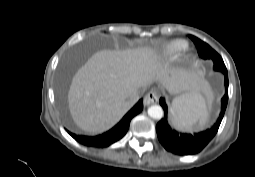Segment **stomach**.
Masks as SVG:
<instances>
[{
  "instance_id": "obj_1",
  "label": "stomach",
  "mask_w": 255,
  "mask_h": 177,
  "mask_svg": "<svg viewBox=\"0 0 255 177\" xmlns=\"http://www.w3.org/2000/svg\"><path fill=\"white\" fill-rule=\"evenodd\" d=\"M192 94H194V93H187V94H185V95H183V96L192 95Z\"/></svg>"
}]
</instances>
